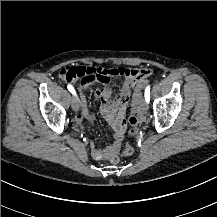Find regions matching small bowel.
<instances>
[{
  "label": "small bowel",
  "instance_id": "small-bowel-1",
  "mask_svg": "<svg viewBox=\"0 0 217 217\" xmlns=\"http://www.w3.org/2000/svg\"><path fill=\"white\" fill-rule=\"evenodd\" d=\"M124 76L125 79L123 81V85L115 99H110L111 80L113 74L105 72L98 77L99 84L105 85V87L96 90L94 96L95 99L101 104V111L105 114L107 122L113 128L115 141L104 148L97 146L94 141H90L89 148L91 156L95 160H104L109 154L119 152L120 143L123 140L127 126L129 106L131 104L132 84L135 81L146 80L148 77H135L131 74H125ZM89 84L90 82L81 83V87L86 88ZM94 117V112L87 111L84 114H77L74 121L77 125L82 126L85 120L92 121Z\"/></svg>",
  "mask_w": 217,
  "mask_h": 217
}]
</instances>
